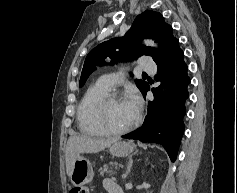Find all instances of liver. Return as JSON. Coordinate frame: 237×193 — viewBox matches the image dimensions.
<instances>
[{
    "label": "liver",
    "instance_id": "obj_1",
    "mask_svg": "<svg viewBox=\"0 0 237 193\" xmlns=\"http://www.w3.org/2000/svg\"><path fill=\"white\" fill-rule=\"evenodd\" d=\"M118 140V138L95 139L85 135H71L65 150L67 175L71 177L73 163L77 156L82 153H98Z\"/></svg>",
    "mask_w": 237,
    "mask_h": 193
}]
</instances>
